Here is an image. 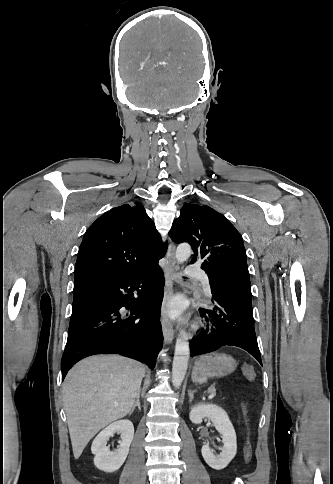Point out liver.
Returning a JSON list of instances; mask_svg holds the SVG:
<instances>
[{
  "mask_svg": "<svg viewBox=\"0 0 333 484\" xmlns=\"http://www.w3.org/2000/svg\"><path fill=\"white\" fill-rule=\"evenodd\" d=\"M144 366L122 356H92L63 383V403L75 459L102 428L125 417L140 391Z\"/></svg>",
  "mask_w": 333,
  "mask_h": 484,
  "instance_id": "liver-1",
  "label": "liver"
}]
</instances>
